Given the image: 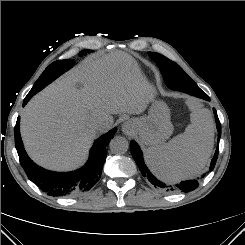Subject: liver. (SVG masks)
<instances>
[{
    "mask_svg": "<svg viewBox=\"0 0 245 245\" xmlns=\"http://www.w3.org/2000/svg\"><path fill=\"white\" fill-rule=\"evenodd\" d=\"M151 98L134 59L124 52L96 55L35 95L21 113L29 156L53 170H71L86 158L96 132L114 114H141ZM98 121L106 125L97 127Z\"/></svg>",
    "mask_w": 245,
    "mask_h": 245,
    "instance_id": "1",
    "label": "liver"
}]
</instances>
